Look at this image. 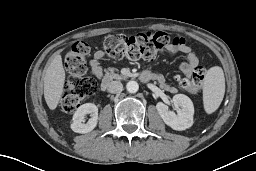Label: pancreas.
<instances>
[{
	"instance_id": "1",
	"label": "pancreas",
	"mask_w": 256,
	"mask_h": 171,
	"mask_svg": "<svg viewBox=\"0 0 256 171\" xmlns=\"http://www.w3.org/2000/svg\"><path fill=\"white\" fill-rule=\"evenodd\" d=\"M117 69L115 68H108L105 70V80H112V79H123L122 75L116 73Z\"/></svg>"
}]
</instances>
